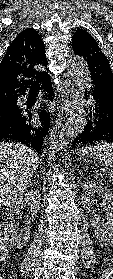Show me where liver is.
Listing matches in <instances>:
<instances>
[{
  "label": "liver",
  "mask_w": 113,
  "mask_h": 279,
  "mask_svg": "<svg viewBox=\"0 0 113 279\" xmlns=\"http://www.w3.org/2000/svg\"><path fill=\"white\" fill-rule=\"evenodd\" d=\"M39 156L21 143L0 142V208L15 202L38 167Z\"/></svg>",
  "instance_id": "1"
}]
</instances>
